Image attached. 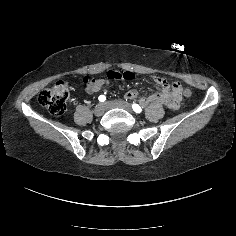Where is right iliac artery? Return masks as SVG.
Here are the masks:
<instances>
[{"mask_svg": "<svg viewBox=\"0 0 236 236\" xmlns=\"http://www.w3.org/2000/svg\"><path fill=\"white\" fill-rule=\"evenodd\" d=\"M98 99L100 102H104L106 100V97L104 95H100Z\"/></svg>", "mask_w": 236, "mask_h": 236, "instance_id": "obj_1", "label": "right iliac artery"}]
</instances>
